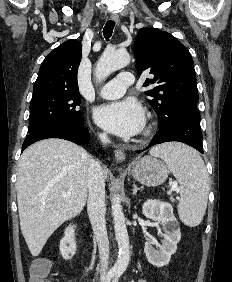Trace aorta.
I'll return each mask as SVG.
<instances>
[{
	"mask_svg": "<svg viewBox=\"0 0 232 282\" xmlns=\"http://www.w3.org/2000/svg\"><path fill=\"white\" fill-rule=\"evenodd\" d=\"M130 59L129 53L125 50H106L96 66L95 75L97 80L100 82L114 71L126 67L130 63ZM112 216L119 247L118 258L113 266V271L117 274H122L130 261V249L125 217L118 194L112 198Z\"/></svg>",
	"mask_w": 232,
	"mask_h": 282,
	"instance_id": "762f6f07",
	"label": "aorta"
}]
</instances>
